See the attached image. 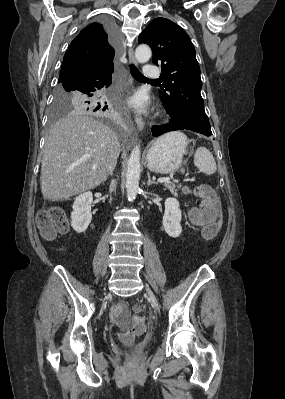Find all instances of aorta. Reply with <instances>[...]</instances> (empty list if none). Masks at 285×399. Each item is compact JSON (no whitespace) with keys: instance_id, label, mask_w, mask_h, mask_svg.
Segmentation results:
<instances>
[{"instance_id":"obj_1","label":"aorta","mask_w":285,"mask_h":399,"mask_svg":"<svg viewBox=\"0 0 285 399\" xmlns=\"http://www.w3.org/2000/svg\"><path fill=\"white\" fill-rule=\"evenodd\" d=\"M151 55L152 52L148 45L141 44L136 48L135 57L139 63H146L151 58ZM140 156L141 149L138 144L132 149L127 164L126 191L129 201L135 200L139 189L141 172Z\"/></svg>"}]
</instances>
